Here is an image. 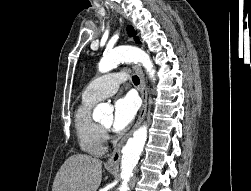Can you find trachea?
<instances>
[{"instance_id":"obj_1","label":"trachea","mask_w":251,"mask_h":191,"mask_svg":"<svg viewBox=\"0 0 251 191\" xmlns=\"http://www.w3.org/2000/svg\"><path fill=\"white\" fill-rule=\"evenodd\" d=\"M132 81H133L134 85H139V83H140L138 76H132Z\"/></svg>"}]
</instances>
